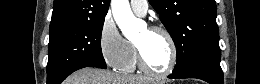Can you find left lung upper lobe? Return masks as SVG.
I'll use <instances>...</instances> for the list:
<instances>
[{"instance_id": "obj_1", "label": "left lung upper lobe", "mask_w": 260, "mask_h": 84, "mask_svg": "<svg viewBox=\"0 0 260 84\" xmlns=\"http://www.w3.org/2000/svg\"><path fill=\"white\" fill-rule=\"evenodd\" d=\"M171 35L177 51L173 72L195 57L220 50L215 0H149Z\"/></svg>"}]
</instances>
